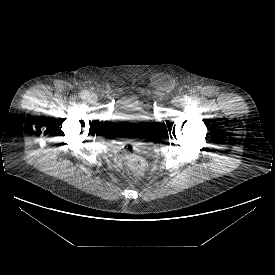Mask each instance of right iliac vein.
<instances>
[{
    "label": "right iliac vein",
    "mask_w": 275,
    "mask_h": 275,
    "mask_svg": "<svg viewBox=\"0 0 275 275\" xmlns=\"http://www.w3.org/2000/svg\"><path fill=\"white\" fill-rule=\"evenodd\" d=\"M88 99L91 102H95L97 100V96L95 94H91V95H89Z\"/></svg>",
    "instance_id": "63e3f726"
}]
</instances>
